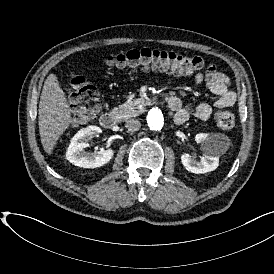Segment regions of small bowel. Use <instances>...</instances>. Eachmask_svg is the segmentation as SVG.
<instances>
[{
	"label": "small bowel",
	"mask_w": 274,
	"mask_h": 274,
	"mask_svg": "<svg viewBox=\"0 0 274 274\" xmlns=\"http://www.w3.org/2000/svg\"><path fill=\"white\" fill-rule=\"evenodd\" d=\"M195 82L198 85H204L210 92L217 96L213 105L201 102L193 109V115L199 121H206L209 119L212 107L228 108L236 103V94L230 89L229 78L219 72L214 64H210L203 72H198L195 75ZM175 112L174 120L177 124H184L189 116L190 110L187 107L179 104L178 108L172 109Z\"/></svg>",
	"instance_id": "1"
}]
</instances>
